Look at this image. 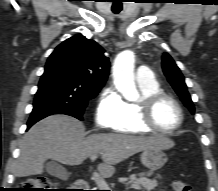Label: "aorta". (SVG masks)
<instances>
[{
  "label": "aorta",
  "mask_w": 218,
  "mask_h": 191,
  "mask_svg": "<svg viewBox=\"0 0 218 191\" xmlns=\"http://www.w3.org/2000/svg\"><path fill=\"white\" fill-rule=\"evenodd\" d=\"M134 61L133 53L126 50L118 54L113 66L114 84L128 101H136L139 98L134 82Z\"/></svg>",
  "instance_id": "762f6f07"
}]
</instances>
